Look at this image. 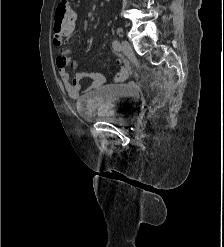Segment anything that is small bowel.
<instances>
[{
	"instance_id": "1",
	"label": "small bowel",
	"mask_w": 224,
	"mask_h": 247,
	"mask_svg": "<svg viewBox=\"0 0 224 247\" xmlns=\"http://www.w3.org/2000/svg\"><path fill=\"white\" fill-rule=\"evenodd\" d=\"M74 32H76L75 29ZM68 38L57 33L54 34L53 44L58 49L55 62L67 94L69 97L76 99L82 92L85 79L91 80L90 86L86 89V91H91L102 86L106 82V78L103 74L92 71L78 72L73 78L70 76L67 70L71 63V50L68 46Z\"/></svg>"
}]
</instances>
